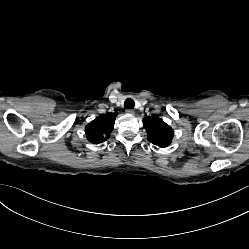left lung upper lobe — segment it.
Listing matches in <instances>:
<instances>
[{
	"mask_svg": "<svg viewBox=\"0 0 249 249\" xmlns=\"http://www.w3.org/2000/svg\"><path fill=\"white\" fill-rule=\"evenodd\" d=\"M143 127L146 129L148 140L151 143L162 148L170 145L174 131L158 116H146L143 119Z\"/></svg>",
	"mask_w": 249,
	"mask_h": 249,
	"instance_id": "obj_1",
	"label": "left lung upper lobe"
}]
</instances>
